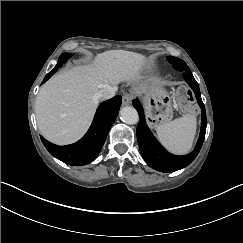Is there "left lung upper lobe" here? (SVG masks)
I'll use <instances>...</instances> for the list:
<instances>
[{"instance_id":"left-lung-upper-lobe-1","label":"left lung upper lobe","mask_w":243,"mask_h":243,"mask_svg":"<svg viewBox=\"0 0 243 243\" xmlns=\"http://www.w3.org/2000/svg\"><path fill=\"white\" fill-rule=\"evenodd\" d=\"M167 60L174 66L177 70H187L189 67L186 65V63L176 57L168 56Z\"/></svg>"}]
</instances>
